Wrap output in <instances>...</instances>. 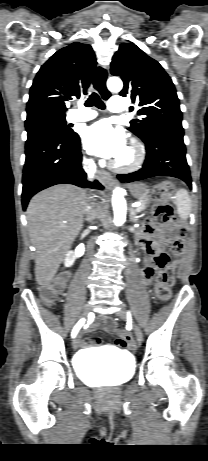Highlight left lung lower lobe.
Here are the masks:
<instances>
[{
	"instance_id": "1",
	"label": "left lung lower lobe",
	"mask_w": 208,
	"mask_h": 461,
	"mask_svg": "<svg viewBox=\"0 0 208 461\" xmlns=\"http://www.w3.org/2000/svg\"><path fill=\"white\" fill-rule=\"evenodd\" d=\"M183 129L160 127L144 140L146 159L143 167L133 173L119 174L121 182H133L154 176L176 177L192 188L189 166L186 160Z\"/></svg>"
}]
</instances>
